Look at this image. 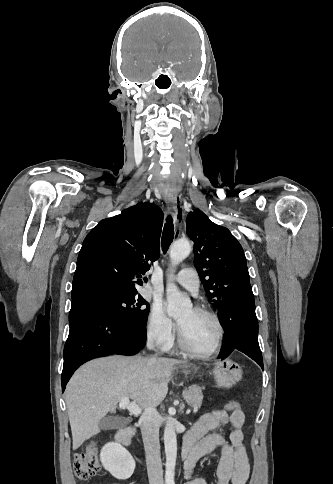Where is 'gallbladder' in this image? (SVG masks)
<instances>
[{"label": "gallbladder", "mask_w": 333, "mask_h": 484, "mask_svg": "<svg viewBox=\"0 0 333 484\" xmlns=\"http://www.w3.org/2000/svg\"><path fill=\"white\" fill-rule=\"evenodd\" d=\"M124 418L120 416H109L102 419L99 423L101 430H116L124 427Z\"/></svg>", "instance_id": "1"}]
</instances>
